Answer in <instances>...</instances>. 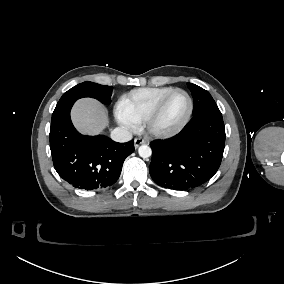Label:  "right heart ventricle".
<instances>
[{
  "label": "right heart ventricle",
  "instance_id": "1",
  "mask_svg": "<svg viewBox=\"0 0 284 284\" xmlns=\"http://www.w3.org/2000/svg\"><path fill=\"white\" fill-rule=\"evenodd\" d=\"M172 86L142 87L122 94L117 102V112L121 118L131 125L143 121L146 114L166 93L173 90Z\"/></svg>",
  "mask_w": 284,
  "mask_h": 284
}]
</instances>
